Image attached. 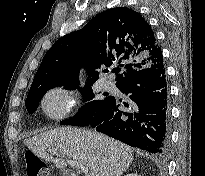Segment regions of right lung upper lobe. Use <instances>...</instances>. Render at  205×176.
Returning <instances> with one entry per match:
<instances>
[{
	"mask_svg": "<svg viewBox=\"0 0 205 176\" xmlns=\"http://www.w3.org/2000/svg\"><path fill=\"white\" fill-rule=\"evenodd\" d=\"M112 64L117 83L134 71L163 64L154 32L132 9L106 10L81 30L59 38L45 54L29 92L50 84L79 83L83 66L89 74L87 84H93L98 69Z\"/></svg>",
	"mask_w": 205,
	"mask_h": 176,
	"instance_id": "right-lung-upper-lobe-1",
	"label": "right lung upper lobe"
}]
</instances>
